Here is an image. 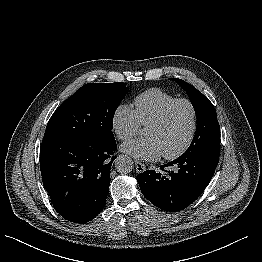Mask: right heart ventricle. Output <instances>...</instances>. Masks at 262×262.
<instances>
[{
	"label": "right heart ventricle",
	"instance_id": "e07e8e85",
	"mask_svg": "<svg viewBox=\"0 0 262 262\" xmlns=\"http://www.w3.org/2000/svg\"><path fill=\"white\" fill-rule=\"evenodd\" d=\"M176 97L159 88H151L135 97L134 112L140 125H148Z\"/></svg>",
	"mask_w": 262,
	"mask_h": 262
}]
</instances>
